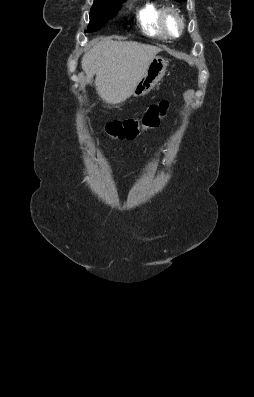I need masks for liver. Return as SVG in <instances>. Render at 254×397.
<instances>
[{"mask_svg": "<svg viewBox=\"0 0 254 397\" xmlns=\"http://www.w3.org/2000/svg\"><path fill=\"white\" fill-rule=\"evenodd\" d=\"M159 48L134 41H99L81 60L89 83L94 75L98 95L107 103L125 102Z\"/></svg>", "mask_w": 254, "mask_h": 397, "instance_id": "6515ba94", "label": "liver"}]
</instances>
